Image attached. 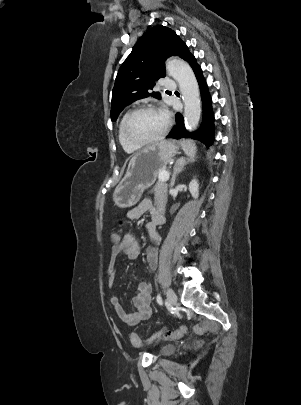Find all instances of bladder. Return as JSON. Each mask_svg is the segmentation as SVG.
<instances>
[{
	"label": "bladder",
	"instance_id": "bladder-1",
	"mask_svg": "<svg viewBox=\"0 0 301 405\" xmlns=\"http://www.w3.org/2000/svg\"><path fill=\"white\" fill-rule=\"evenodd\" d=\"M163 350H164L165 352H168V351H170V350H171V347L166 346V347H164V348H163Z\"/></svg>",
	"mask_w": 301,
	"mask_h": 405
}]
</instances>
